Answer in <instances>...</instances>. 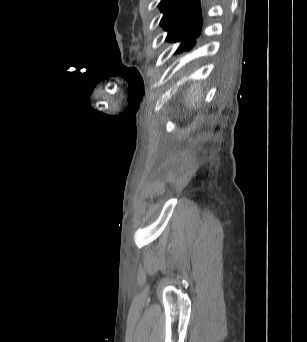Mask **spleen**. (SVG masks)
Segmentation results:
<instances>
[{"label":"spleen","instance_id":"obj_1","mask_svg":"<svg viewBox=\"0 0 307 342\" xmlns=\"http://www.w3.org/2000/svg\"><path fill=\"white\" fill-rule=\"evenodd\" d=\"M187 98H188L189 104H191V106H193V104H195V102H200V100L202 98L200 84H194V86H191L190 92H189ZM191 112L193 114H197L199 112V109L197 107H193L191 109Z\"/></svg>","mask_w":307,"mask_h":342}]
</instances>
